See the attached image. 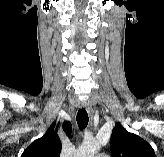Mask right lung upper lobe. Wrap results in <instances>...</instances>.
I'll list each match as a JSON object with an SVG mask.
<instances>
[{
  "mask_svg": "<svg viewBox=\"0 0 164 157\" xmlns=\"http://www.w3.org/2000/svg\"><path fill=\"white\" fill-rule=\"evenodd\" d=\"M63 130L70 136L72 130L71 123L68 121L64 122ZM61 149L62 144L57 132L54 131V127H51L41 138L30 144L21 157H60Z\"/></svg>",
  "mask_w": 164,
  "mask_h": 157,
  "instance_id": "obj_1",
  "label": "right lung upper lobe"
}]
</instances>
